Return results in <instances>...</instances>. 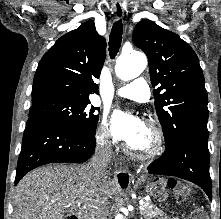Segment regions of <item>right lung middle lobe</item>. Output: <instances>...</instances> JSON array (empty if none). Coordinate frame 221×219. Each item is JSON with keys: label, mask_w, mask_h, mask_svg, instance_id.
<instances>
[{"label": "right lung middle lobe", "mask_w": 221, "mask_h": 219, "mask_svg": "<svg viewBox=\"0 0 221 219\" xmlns=\"http://www.w3.org/2000/svg\"><path fill=\"white\" fill-rule=\"evenodd\" d=\"M29 117L37 116L62 123L72 129L95 135L98 108L89 99L48 98L32 102Z\"/></svg>", "instance_id": "right-lung-middle-lobe-1"}]
</instances>
